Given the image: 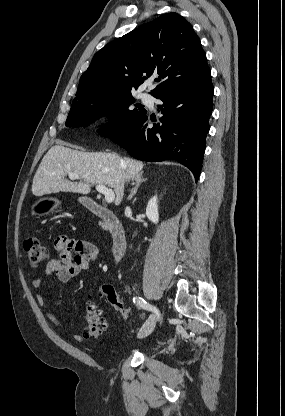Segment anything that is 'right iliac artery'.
<instances>
[{
	"label": "right iliac artery",
	"instance_id": "right-iliac-artery-1",
	"mask_svg": "<svg viewBox=\"0 0 285 416\" xmlns=\"http://www.w3.org/2000/svg\"><path fill=\"white\" fill-rule=\"evenodd\" d=\"M133 302L136 303L139 307H141V308H143L145 310H148V311H152V312L156 313L159 316L158 309L155 306L147 303L143 298H141V297H134L133 298Z\"/></svg>",
	"mask_w": 285,
	"mask_h": 416
}]
</instances>
